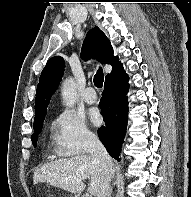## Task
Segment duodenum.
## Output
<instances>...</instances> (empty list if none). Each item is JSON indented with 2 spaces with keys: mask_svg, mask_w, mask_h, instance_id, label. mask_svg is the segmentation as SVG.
I'll use <instances>...</instances> for the list:
<instances>
[{
  "mask_svg": "<svg viewBox=\"0 0 191 197\" xmlns=\"http://www.w3.org/2000/svg\"><path fill=\"white\" fill-rule=\"evenodd\" d=\"M75 197H81V195H77V196H75Z\"/></svg>",
  "mask_w": 191,
  "mask_h": 197,
  "instance_id": "obj_1",
  "label": "duodenum"
}]
</instances>
